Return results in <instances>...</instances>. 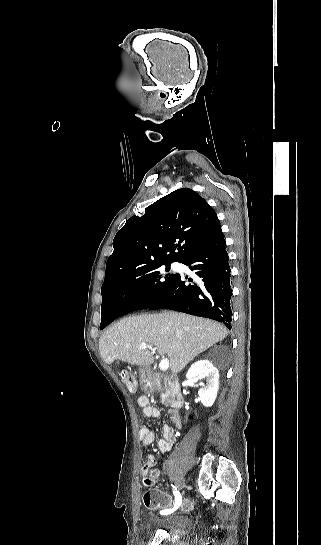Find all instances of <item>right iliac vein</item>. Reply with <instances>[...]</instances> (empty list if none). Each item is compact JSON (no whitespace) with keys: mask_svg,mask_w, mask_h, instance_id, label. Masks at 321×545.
Masks as SVG:
<instances>
[{"mask_svg":"<svg viewBox=\"0 0 321 545\" xmlns=\"http://www.w3.org/2000/svg\"><path fill=\"white\" fill-rule=\"evenodd\" d=\"M175 485L178 491H181L184 488V479L181 477L179 479H176Z\"/></svg>","mask_w":321,"mask_h":545,"instance_id":"1","label":"right iliac vein"}]
</instances>
